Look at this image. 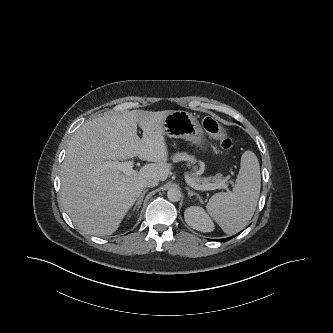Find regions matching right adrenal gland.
Here are the masks:
<instances>
[{"instance_id":"1","label":"right adrenal gland","mask_w":333,"mask_h":333,"mask_svg":"<svg viewBox=\"0 0 333 333\" xmlns=\"http://www.w3.org/2000/svg\"><path fill=\"white\" fill-rule=\"evenodd\" d=\"M148 192V189H145L142 194L140 195V197L138 198L135 206H134V210L137 208V212L139 211L140 207H141V204H142V201L144 199V196L145 194Z\"/></svg>"}]
</instances>
